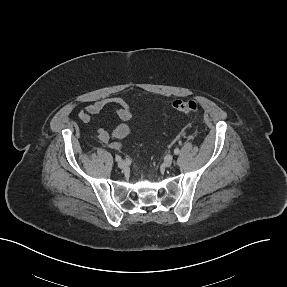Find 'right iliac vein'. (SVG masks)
I'll list each match as a JSON object with an SVG mask.
<instances>
[{"label":"right iliac vein","mask_w":287,"mask_h":287,"mask_svg":"<svg viewBox=\"0 0 287 287\" xmlns=\"http://www.w3.org/2000/svg\"><path fill=\"white\" fill-rule=\"evenodd\" d=\"M118 167L121 168V169H125V168H127V163L125 161H123V160H120L118 162Z\"/></svg>","instance_id":"63e3f726"}]
</instances>
